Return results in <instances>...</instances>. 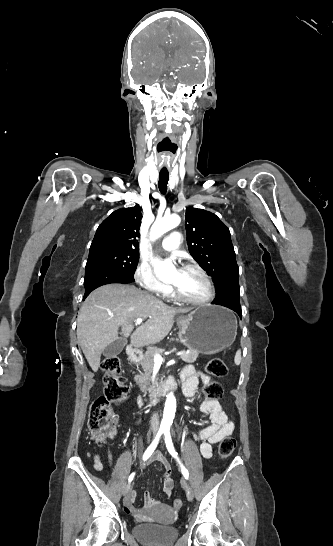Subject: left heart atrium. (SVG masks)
<instances>
[{
  "label": "left heart atrium",
  "instance_id": "1",
  "mask_svg": "<svg viewBox=\"0 0 333 546\" xmlns=\"http://www.w3.org/2000/svg\"><path fill=\"white\" fill-rule=\"evenodd\" d=\"M182 270H179L178 273L181 274Z\"/></svg>",
  "mask_w": 333,
  "mask_h": 546
}]
</instances>
